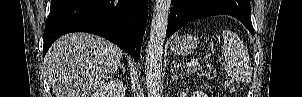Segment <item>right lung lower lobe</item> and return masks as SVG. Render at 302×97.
I'll return each instance as SVG.
<instances>
[{
    "instance_id": "obj_1",
    "label": "right lung lower lobe",
    "mask_w": 302,
    "mask_h": 97,
    "mask_svg": "<svg viewBox=\"0 0 302 97\" xmlns=\"http://www.w3.org/2000/svg\"><path fill=\"white\" fill-rule=\"evenodd\" d=\"M147 17V0H51L43 56L60 36L79 31L106 38L138 61Z\"/></svg>"
}]
</instances>
